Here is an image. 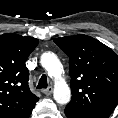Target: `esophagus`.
<instances>
[{
  "label": "esophagus",
  "instance_id": "1",
  "mask_svg": "<svg viewBox=\"0 0 118 118\" xmlns=\"http://www.w3.org/2000/svg\"><path fill=\"white\" fill-rule=\"evenodd\" d=\"M42 92H43V94L49 96V95L52 94L53 88L52 87H48L47 89H43Z\"/></svg>",
  "mask_w": 118,
  "mask_h": 118
}]
</instances>
